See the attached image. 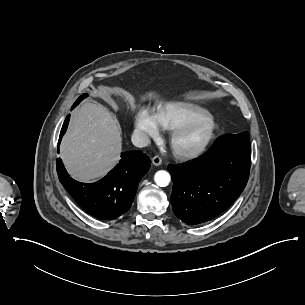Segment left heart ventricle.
I'll use <instances>...</instances> for the list:
<instances>
[{
    "mask_svg": "<svg viewBox=\"0 0 305 305\" xmlns=\"http://www.w3.org/2000/svg\"><path fill=\"white\" fill-rule=\"evenodd\" d=\"M208 133V126L206 124L197 125L191 128L187 134L189 142L197 143L202 141Z\"/></svg>",
    "mask_w": 305,
    "mask_h": 305,
    "instance_id": "1",
    "label": "left heart ventricle"
}]
</instances>
